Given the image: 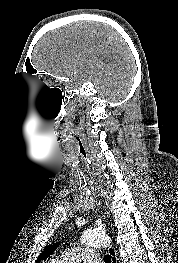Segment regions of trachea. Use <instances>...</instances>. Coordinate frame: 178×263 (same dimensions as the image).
Segmentation results:
<instances>
[{"label":"trachea","mask_w":178,"mask_h":263,"mask_svg":"<svg viewBox=\"0 0 178 263\" xmlns=\"http://www.w3.org/2000/svg\"><path fill=\"white\" fill-rule=\"evenodd\" d=\"M104 262L105 263H111V256L110 255H105L104 256Z\"/></svg>","instance_id":"1"}]
</instances>
